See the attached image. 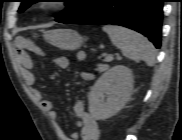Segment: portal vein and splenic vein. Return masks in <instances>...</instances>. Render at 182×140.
<instances>
[{"mask_svg": "<svg viewBox=\"0 0 182 140\" xmlns=\"http://www.w3.org/2000/svg\"><path fill=\"white\" fill-rule=\"evenodd\" d=\"M113 60V56L112 55H107L106 57H105V61H107V62H110V61H112Z\"/></svg>", "mask_w": 182, "mask_h": 140, "instance_id": "1", "label": "portal vein and splenic vein"}]
</instances>
